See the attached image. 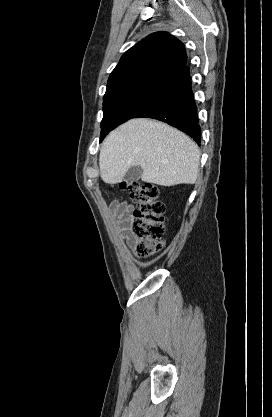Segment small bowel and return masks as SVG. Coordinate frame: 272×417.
Listing matches in <instances>:
<instances>
[{"label": "small bowel", "mask_w": 272, "mask_h": 417, "mask_svg": "<svg viewBox=\"0 0 272 417\" xmlns=\"http://www.w3.org/2000/svg\"><path fill=\"white\" fill-rule=\"evenodd\" d=\"M110 212L118 226L121 238L124 239L129 246H135L136 239L130 229L133 207L123 201H113L110 204Z\"/></svg>", "instance_id": "small-bowel-1"}]
</instances>
